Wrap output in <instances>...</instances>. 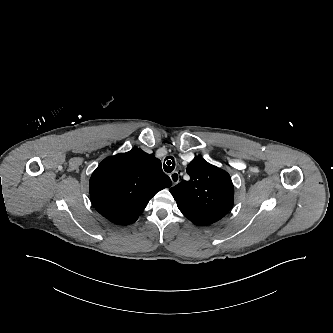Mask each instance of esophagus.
<instances>
[{
	"label": "esophagus",
	"instance_id": "34e87169",
	"mask_svg": "<svg viewBox=\"0 0 333 333\" xmlns=\"http://www.w3.org/2000/svg\"><path fill=\"white\" fill-rule=\"evenodd\" d=\"M181 174L178 171H174L170 174V179L173 185H176L180 181Z\"/></svg>",
	"mask_w": 333,
	"mask_h": 333
}]
</instances>
